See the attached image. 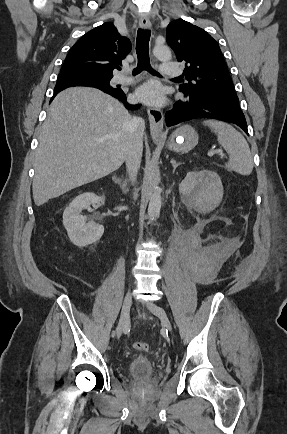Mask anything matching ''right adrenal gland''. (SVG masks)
I'll use <instances>...</instances> for the list:
<instances>
[{
  "instance_id": "2a0ac1e0",
  "label": "right adrenal gland",
  "mask_w": 287,
  "mask_h": 434,
  "mask_svg": "<svg viewBox=\"0 0 287 434\" xmlns=\"http://www.w3.org/2000/svg\"><path fill=\"white\" fill-rule=\"evenodd\" d=\"M116 181L123 190L126 189V187H127V181L126 180H123L122 178H116Z\"/></svg>"
}]
</instances>
